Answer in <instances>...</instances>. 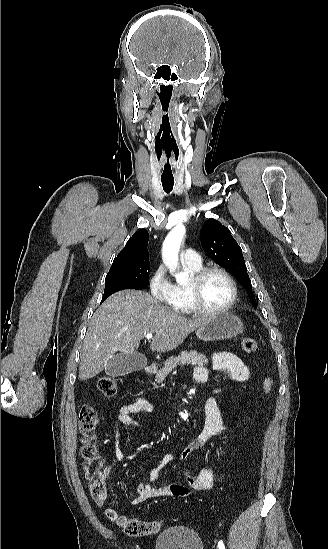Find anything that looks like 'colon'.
Returning a JSON list of instances; mask_svg holds the SVG:
<instances>
[{"mask_svg": "<svg viewBox=\"0 0 328 549\" xmlns=\"http://www.w3.org/2000/svg\"><path fill=\"white\" fill-rule=\"evenodd\" d=\"M241 348L247 354L258 351L257 341L250 336L241 339ZM273 380L267 377L262 386L265 393L270 392ZM98 390L105 396H113L117 392V380L109 375L102 376L97 382ZM99 417L96 409L91 405H83L79 411V431L82 436L81 456L85 477L89 483L92 498L97 503H102L107 497L106 479L108 470L99 462L95 430ZM112 519H116L120 528L131 536H145L157 532L160 524L157 521H145L136 518L117 516L116 513H108Z\"/></svg>", "mask_w": 328, "mask_h": 549, "instance_id": "colon-1", "label": "colon"}]
</instances>
